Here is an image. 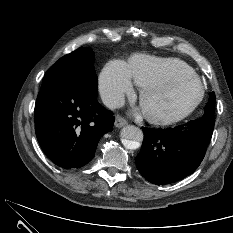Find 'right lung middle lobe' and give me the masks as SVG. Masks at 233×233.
I'll return each mask as SVG.
<instances>
[{
	"instance_id": "1",
	"label": "right lung middle lobe",
	"mask_w": 233,
	"mask_h": 233,
	"mask_svg": "<svg viewBox=\"0 0 233 233\" xmlns=\"http://www.w3.org/2000/svg\"><path fill=\"white\" fill-rule=\"evenodd\" d=\"M93 62V51L89 48L80 47L56 62L46 72L44 78L63 77L73 80H86L93 85H97Z\"/></svg>"
}]
</instances>
